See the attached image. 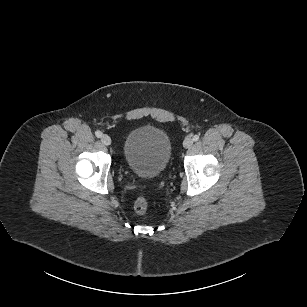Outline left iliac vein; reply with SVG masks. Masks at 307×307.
<instances>
[{"label":"left iliac vein","mask_w":307,"mask_h":307,"mask_svg":"<svg viewBox=\"0 0 307 307\" xmlns=\"http://www.w3.org/2000/svg\"><path fill=\"white\" fill-rule=\"evenodd\" d=\"M192 144H193V139L190 138V137L186 138V139L184 140V142H183V146H184L185 148L191 147Z\"/></svg>","instance_id":"4c4485c4"}]
</instances>
